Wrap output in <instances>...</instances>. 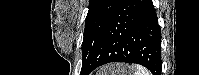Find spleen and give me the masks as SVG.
Wrapping results in <instances>:
<instances>
[{
    "instance_id": "obj_1",
    "label": "spleen",
    "mask_w": 199,
    "mask_h": 75,
    "mask_svg": "<svg viewBox=\"0 0 199 75\" xmlns=\"http://www.w3.org/2000/svg\"><path fill=\"white\" fill-rule=\"evenodd\" d=\"M134 68H135L134 75H151V73L142 66L137 65Z\"/></svg>"
}]
</instances>
